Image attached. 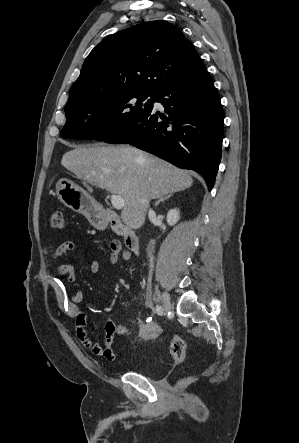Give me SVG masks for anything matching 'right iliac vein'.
Segmentation results:
<instances>
[{"instance_id":"right-iliac-vein-1","label":"right iliac vein","mask_w":299,"mask_h":443,"mask_svg":"<svg viewBox=\"0 0 299 443\" xmlns=\"http://www.w3.org/2000/svg\"><path fill=\"white\" fill-rule=\"evenodd\" d=\"M161 302H162L163 310H164L165 312H168V311L171 310V300H170V296H169V294H168L166 291H164V292L162 293V299H161Z\"/></svg>"}]
</instances>
